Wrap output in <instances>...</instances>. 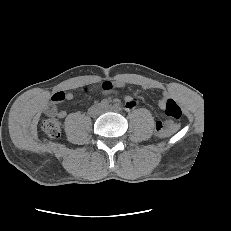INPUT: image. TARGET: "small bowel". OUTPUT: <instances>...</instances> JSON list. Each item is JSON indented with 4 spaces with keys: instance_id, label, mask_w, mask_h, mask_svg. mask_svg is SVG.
<instances>
[{
    "instance_id": "obj_1",
    "label": "small bowel",
    "mask_w": 231,
    "mask_h": 231,
    "mask_svg": "<svg viewBox=\"0 0 231 231\" xmlns=\"http://www.w3.org/2000/svg\"><path fill=\"white\" fill-rule=\"evenodd\" d=\"M110 83H111V82H110ZM125 84H126V82H124V81H117V82H115V83H111L112 88H113V87H121V86H124ZM112 88H111V89H112ZM111 89L103 90V92H104V93H108ZM54 95H58V96H59V99L56 100V101L53 103V106H52V107H51V104H52V102H51V104L49 105L48 108H49L50 111H55L58 117L64 118V117L66 116V111L63 110V109L56 110V106H55V105H56V103L61 102V101H64V100H72V99H73V94L70 93V92H57V93L54 94ZM54 95H53V96H54ZM135 104H136V99H135V98H128V99L126 100V107H127L128 109L133 108V107L135 106Z\"/></svg>"
}]
</instances>
